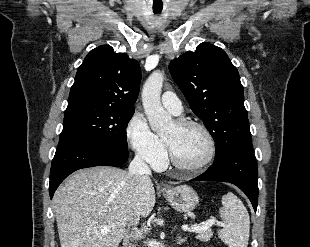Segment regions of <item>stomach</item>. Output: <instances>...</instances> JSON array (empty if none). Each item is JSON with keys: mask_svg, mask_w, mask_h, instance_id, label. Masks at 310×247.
<instances>
[{"mask_svg": "<svg viewBox=\"0 0 310 247\" xmlns=\"http://www.w3.org/2000/svg\"><path fill=\"white\" fill-rule=\"evenodd\" d=\"M163 195L173 209L178 212H190L199 201L195 190L187 185L165 189Z\"/></svg>", "mask_w": 310, "mask_h": 247, "instance_id": "stomach-1", "label": "stomach"}]
</instances>
